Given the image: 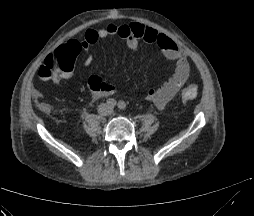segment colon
I'll use <instances>...</instances> for the list:
<instances>
[{
    "label": "colon",
    "mask_w": 254,
    "mask_h": 216,
    "mask_svg": "<svg viewBox=\"0 0 254 216\" xmlns=\"http://www.w3.org/2000/svg\"><path fill=\"white\" fill-rule=\"evenodd\" d=\"M82 47L76 43L74 50L57 49L55 55H49L44 63L39 68V76L43 79H48L58 72L70 71L73 68L72 56L79 53ZM198 85L196 82H188L180 90V98L183 103L194 100L197 96Z\"/></svg>",
    "instance_id": "colon-1"
}]
</instances>
